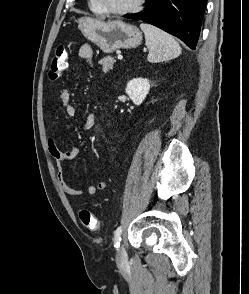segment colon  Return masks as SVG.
I'll list each match as a JSON object with an SVG mask.
<instances>
[{
    "label": "colon",
    "mask_w": 249,
    "mask_h": 294,
    "mask_svg": "<svg viewBox=\"0 0 249 294\" xmlns=\"http://www.w3.org/2000/svg\"><path fill=\"white\" fill-rule=\"evenodd\" d=\"M67 56L66 47L64 45L58 46L52 57L48 71L50 81H56L62 76L67 65ZM78 214L85 228L92 231L99 229V221L89 210L81 209Z\"/></svg>",
    "instance_id": "colon-1"
}]
</instances>
